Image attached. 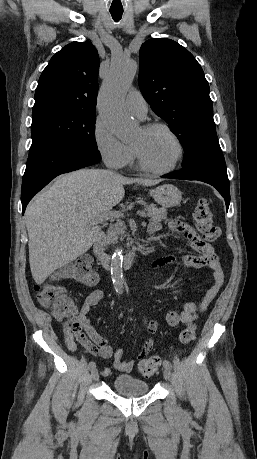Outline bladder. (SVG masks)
Here are the masks:
<instances>
[{
	"label": "bladder",
	"instance_id": "1",
	"mask_svg": "<svg viewBox=\"0 0 257 459\" xmlns=\"http://www.w3.org/2000/svg\"><path fill=\"white\" fill-rule=\"evenodd\" d=\"M114 392L124 396H140L148 393V384L132 375L120 374L117 375L112 383Z\"/></svg>",
	"mask_w": 257,
	"mask_h": 459
}]
</instances>
